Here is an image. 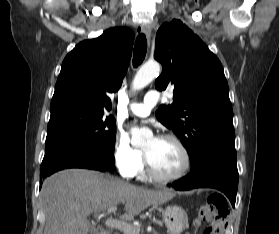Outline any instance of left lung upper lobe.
Instances as JSON below:
<instances>
[{"instance_id":"5c2ea615","label":"left lung upper lobe","mask_w":279,"mask_h":234,"mask_svg":"<svg viewBox=\"0 0 279 234\" xmlns=\"http://www.w3.org/2000/svg\"><path fill=\"white\" fill-rule=\"evenodd\" d=\"M154 58L163 66L157 90L174 87L173 103L161 105L156 117L181 139L191 168L216 149L235 148L228 83L221 62L201 39L180 20L164 23Z\"/></svg>"}]
</instances>
